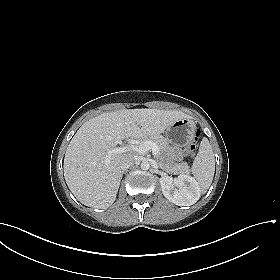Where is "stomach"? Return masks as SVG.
<instances>
[{
  "label": "stomach",
  "instance_id": "1",
  "mask_svg": "<svg viewBox=\"0 0 280 280\" xmlns=\"http://www.w3.org/2000/svg\"><path fill=\"white\" fill-rule=\"evenodd\" d=\"M195 130V123L189 118H184L171 124L166 129L165 135L169 142L184 146L193 141Z\"/></svg>",
  "mask_w": 280,
  "mask_h": 280
}]
</instances>
